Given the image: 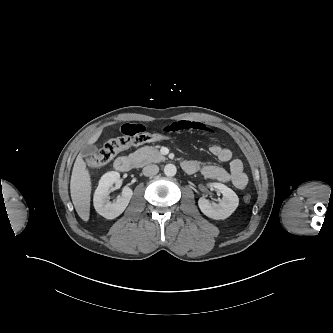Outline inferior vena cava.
Segmentation results:
<instances>
[{
	"mask_svg": "<svg viewBox=\"0 0 333 333\" xmlns=\"http://www.w3.org/2000/svg\"><path fill=\"white\" fill-rule=\"evenodd\" d=\"M145 176H153L159 172V167L155 164L147 165L142 170Z\"/></svg>",
	"mask_w": 333,
	"mask_h": 333,
	"instance_id": "602c4592",
	"label": "inferior vena cava"
}]
</instances>
